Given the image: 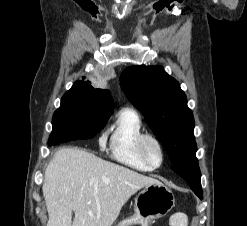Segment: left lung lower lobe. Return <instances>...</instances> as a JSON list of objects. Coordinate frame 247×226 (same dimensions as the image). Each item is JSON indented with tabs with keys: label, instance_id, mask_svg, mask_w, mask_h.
Wrapping results in <instances>:
<instances>
[{
	"label": "left lung lower lobe",
	"instance_id": "1",
	"mask_svg": "<svg viewBox=\"0 0 247 226\" xmlns=\"http://www.w3.org/2000/svg\"><path fill=\"white\" fill-rule=\"evenodd\" d=\"M171 168L183 177L194 191V193L202 199V188L200 183V169L197 163V159L189 164L181 165V164H173Z\"/></svg>",
	"mask_w": 247,
	"mask_h": 226
}]
</instances>
